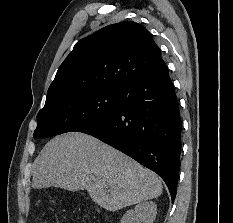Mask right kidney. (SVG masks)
Listing matches in <instances>:
<instances>
[{"label":"right kidney","mask_w":233,"mask_h":223,"mask_svg":"<svg viewBox=\"0 0 233 223\" xmlns=\"http://www.w3.org/2000/svg\"><path fill=\"white\" fill-rule=\"evenodd\" d=\"M157 213L155 201H141L135 209H128L124 213L121 223H153Z\"/></svg>","instance_id":"ca27d5eb"}]
</instances>
